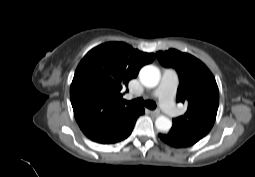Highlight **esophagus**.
I'll return each instance as SVG.
<instances>
[{"mask_svg":"<svg viewBox=\"0 0 255 177\" xmlns=\"http://www.w3.org/2000/svg\"><path fill=\"white\" fill-rule=\"evenodd\" d=\"M150 114H151L152 116L157 117V116L160 115V111H157V110H155V111H150Z\"/></svg>","mask_w":255,"mask_h":177,"instance_id":"34e87169","label":"esophagus"}]
</instances>
